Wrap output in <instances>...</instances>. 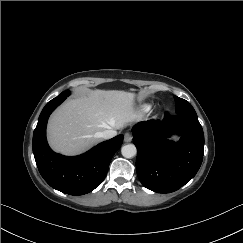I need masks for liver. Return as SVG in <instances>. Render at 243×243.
Segmentation results:
<instances>
[{
	"label": "liver",
	"mask_w": 243,
	"mask_h": 243,
	"mask_svg": "<svg viewBox=\"0 0 243 243\" xmlns=\"http://www.w3.org/2000/svg\"><path fill=\"white\" fill-rule=\"evenodd\" d=\"M135 118V94L122 90H88L63 103L49 118L51 148L64 155L80 154L100 141L98 133L120 129Z\"/></svg>",
	"instance_id": "6515ba94"
}]
</instances>
